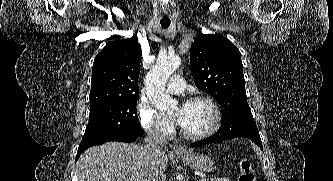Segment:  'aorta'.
I'll list each match as a JSON object with an SVG mask.
<instances>
[{
  "label": "aorta",
  "mask_w": 333,
  "mask_h": 181,
  "mask_svg": "<svg viewBox=\"0 0 333 181\" xmlns=\"http://www.w3.org/2000/svg\"><path fill=\"white\" fill-rule=\"evenodd\" d=\"M179 56H168L157 60L145 78L146 95L149 101L159 110L168 112L177 106V100L166 91V82L179 67Z\"/></svg>",
  "instance_id": "1"
}]
</instances>
